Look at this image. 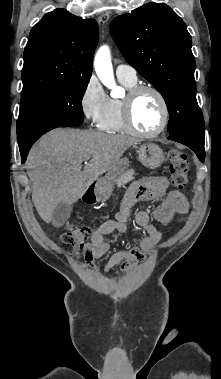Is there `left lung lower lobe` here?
Listing matches in <instances>:
<instances>
[{"mask_svg":"<svg viewBox=\"0 0 221 379\" xmlns=\"http://www.w3.org/2000/svg\"><path fill=\"white\" fill-rule=\"evenodd\" d=\"M168 139L185 144L186 146L190 147L197 154L200 161L204 162V142H199L197 140L185 136H169Z\"/></svg>","mask_w":221,"mask_h":379,"instance_id":"1","label":"left lung lower lobe"}]
</instances>
